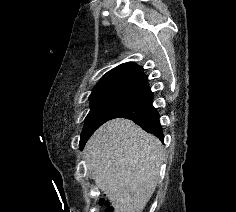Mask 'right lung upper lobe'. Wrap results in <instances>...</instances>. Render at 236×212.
<instances>
[{
    "label": "right lung upper lobe",
    "instance_id": "obj_1",
    "mask_svg": "<svg viewBox=\"0 0 236 212\" xmlns=\"http://www.w3.org/2000/svg\"><path fill=\"white\" fill-rule=\"evenodd\" d=\"M146 77L141 66L133 62L123 63L107 72L99 80L89 98L114 92L131 91Z\"/></svg>",
    "mask_w": 236,
    "mask_h": 212
}]
</instances>
